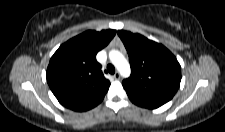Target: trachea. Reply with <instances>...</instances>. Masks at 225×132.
<instances>
[{
  "label": "trachea",
  "instance_id": "trachea-1",
  "mask_svg": "<svg viewBox=\"0 0 225 132\" xmlns=\"http://www.w3.org/2000/svg\"><path fill=\"white\" fill-rule=\"evenodd\" d=\"M106 72L110 73V74H114L115 73V68L112 64H108L107 65V70Z\"/></svg>",
  "mask_w": 225,
  "mask_h": 132
}]
</instances>
